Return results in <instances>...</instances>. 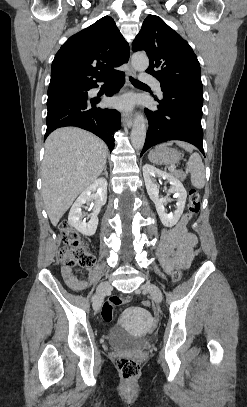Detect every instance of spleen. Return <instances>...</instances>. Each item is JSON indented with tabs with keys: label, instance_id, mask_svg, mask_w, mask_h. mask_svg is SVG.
Segmentation results:
<instances>
[{
	"label": "spleen",
	"instance_id": "1",
	"mask_svg": "<svg viewBox=\"0 0 247 407\" xmlns=\"http://www.w3.org/2000/svg\"><path fill=\"white\" fill-rule=\"evenodd\" d=\"M168 145H172V143H164L159 147H165ZM177 145L191 153L189 161L187 162L186 171L191 175V184L197 189H202L205 185V167L200 155L198 153H192L193 148L187 143L177 142Z\"/></svg>",
	"mask_w": 247,
	"mask_h": 407
}]
</instances>
